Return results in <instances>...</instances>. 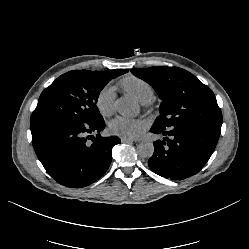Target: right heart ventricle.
<instances>
[{"label":"right heart ventricle","mask_w":249,"mask_h":249,"mask_svg":"<svg viewBox=\"0 0 249 249\" xmlns=\"http://www.w3.org/2000/svg\"><path fill=\"white\" fill-rule=\"evenodd\" d=\"M119 85L121 88L134 96L138 101L145 103L154 97L153 86L145 79L133 74L124 75Z\"/></svg>","instance_id":"right-heart-ventricle-1"}]
</instances>
